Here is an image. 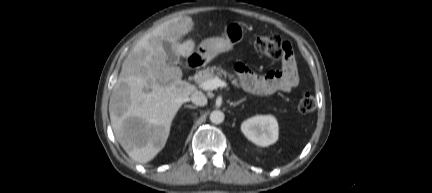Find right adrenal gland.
I'll return each instance as SVG.
<instances>
[{
	"label": "right adrenal gland",
	"instance_id": "right-adrenal-gland-1",
	"mask_svg": "<svg viewBox=\"0 0 432 193\" xmlns=\"http://www.w3.org/2000/svg\"><path fill=\"white\" fill-rule=\"evenodd\" d=\"M186 108H190V109H196L197 106H193V105H185Z\"/></svg>",
	"mask_w": 432,
	"mask_h": 193
}]
</instances>
